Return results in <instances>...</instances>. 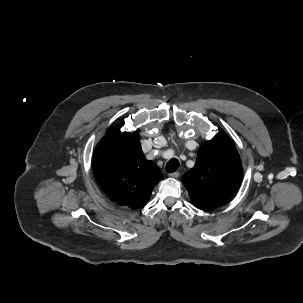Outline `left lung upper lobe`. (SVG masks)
<instances>
[{"mask_svg": "<svg viewBox=\"0 0 303 303\" xmlns=\"http://www.w3.org/2000/svg\"><path fill=\"white\" fill-rule=\"evenodd\" d=\"M242 174L235 146L225 135H219L200 147L195 166L183 175L182 182L194 206L208 210L235 193Z\"/></svg>", "mask_w": 303, "mask_h": 303, "instance_id": "obj_1", "label": "left lung upper lobe"}]
</instances>
